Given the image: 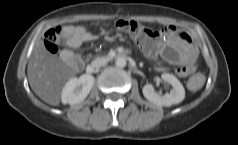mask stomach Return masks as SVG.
<instances>
[{
    "instance_id": "0dacf381",
    "label": "stomach",
    "mask_w": 238,
    "mask_h": 145,
    "mask_svg": "<svg viewBox=\"0 0 238 145\" xmlns=\"http://www.w3.org/2000/svg\"><path fill=\"white\" fill-rule=\"evenodd\" d=\"M172 36L184 51L191 52L195 49L196 42L193 36L188 31H186L182 26H175L172 29Z\"/></svg>"
}]
</instances>
